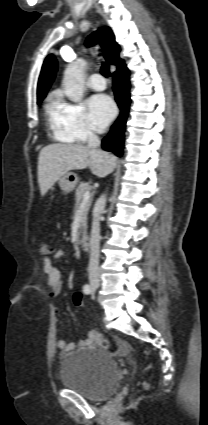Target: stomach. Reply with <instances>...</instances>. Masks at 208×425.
Wrapping results in <instances>:
<instances>
[{
  "label": "stomach",
  "instance_id": "1",
  "mask_svg": "<svg viewBox=\"0 0 208 425\" xmlns=\"http://www.w3.org/2000/svg\"><path fill=\"white\" fill-rule=\"evenodd\" d=\"M78 181L75 173L67 172L59 178V186L64 193H70L75 189Z\"/></svg>",
  "mask_w": 208,
  "mask_h": 425
}]
</instances>
